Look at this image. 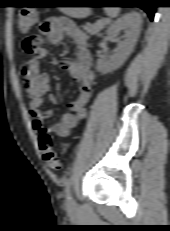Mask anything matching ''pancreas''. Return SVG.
Masks as SVG:
<instances>
[{
    "label": "pancreas",
    "mask_w": 170,
    "mask_h": 231,
    "mask_svg": "<svg viewBox=\"0 0 170 231\" xmlns=\"http://www.w3.org/2000/svg\"><path fill=\"white\" fill-rule=\"evenodd\" d=\"M107 24L108 21L102 19L97 21L95 24H86L85 26H83V29L86 30L88 34L95 35L99 31H101Z\"/></svg>",
    "instance_id": "obj_1"
}]
</instances>
